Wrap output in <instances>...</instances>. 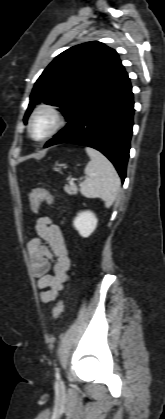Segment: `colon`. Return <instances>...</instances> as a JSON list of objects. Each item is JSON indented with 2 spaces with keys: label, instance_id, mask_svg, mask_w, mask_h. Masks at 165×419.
I'll return each instance as SVG.
<instances>
[{
  "label": "colon",
  "instance_id": "colon-1",
  "mask_svg": "<svg viewBox=\"0 0 165 419\" xmlns=\"http://www.w3.org/2000/svg\"><path fill=\"white\" fill-rule=\"evenodd\" d=\"M30 207L32 211L37 212L43 202L52 204L54 202L53 195L45 188H35L29 196ZM64 304L59 300L53 307L52 314L55 319H58L63 312Z\"/></svg>",
  "mask_w": 165,
  "mask_h": 419
}]
</instances>
